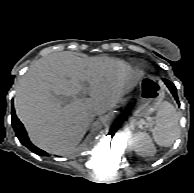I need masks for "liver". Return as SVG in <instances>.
I'll list each match as a JSON object with an SVG mask.
<instances>
[{"instance_id":"6515ba94","label":"liver","mask_w":194,"mask_h":193,"mask_svg":"<svg viewBox=\"0 0 194 193\" xmlns=\"http://www.w3.org/2000/svg\"><path fill=\"white\" fill-rule=\"evenodd\" d=\"M142 74L108 57L82 58L69 51L37 60L19 80L14 101L31 141L53 154L72 152L96 110H110L131 91ZM84 83L90 98L78 99ZM71 97L64 105L62 98Z\"/></svg>"}]
</instances>
